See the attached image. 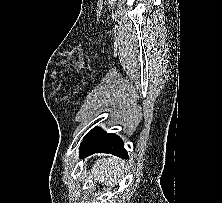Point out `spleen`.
Segmentation results:
<instances>
[{"label":"spleen","instance_id":"3e777b00","mask_svg":"<svg viewBox=\"0 0 222 203\" xmlns=\"http://www.w3.org/2000/svg\"><path fill=\"white\" fill-rule=\"evenodd\" d=\"M91 174L96 181L106 186L117 185L126 176L127 168L125 161L114 156H107L96 161Z\"/></svg>","mask_w":222,"mask_h":203}]
</instances>
